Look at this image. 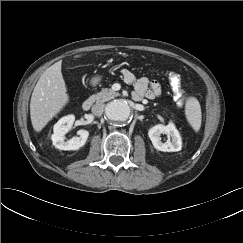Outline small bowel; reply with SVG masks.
<instances>
[{"label":"small bowel","mask_w":243,"mask_h":243,"mask_svg":"<svg viewBox=\"0 0 243 243\" xmlns=\"http://www.w3.org/2000/svg\"><path fill=\"white\" fill-rule=\"evenodd\" d=\"M121 74L126 83L134 86L133 98L135 100H141L143 98L153 99L162 94V87L156 80H149L146 77L136 78L135 75L127 69H123Z\"/></svg>","instance_id":"small-bowel-1"}]
</instances>
